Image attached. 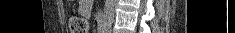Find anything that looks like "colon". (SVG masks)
Masks as SVG:
<instances>
[{"label": "colon", "instance_id": "colon-1", "mask_svg": "<svg viewBox=\"0 0 235 33\" xmlns=\"http://www.w3.org/2000/svg\"><path fill=\"white\" fill-rule=\"evenodd\" d=\"M71 33H88V23L85 19L74 17L69 23Z\"/></svg>", "mask_w": 235, "mask_h": 33}]
</instances>
